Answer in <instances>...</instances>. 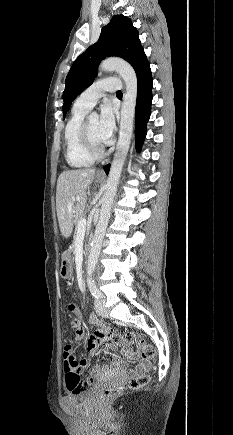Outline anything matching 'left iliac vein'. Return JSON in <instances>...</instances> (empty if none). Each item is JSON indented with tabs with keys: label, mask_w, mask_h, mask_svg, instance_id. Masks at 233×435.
I'll list each match as a JSON object with an SVG mask.
<instances>
[{
	"label": "left iliac vein",
	"mask_w": 233,
	"mask_h": 435,
	"mask_svg": "<svg viewBox=\"0 0 233 435\" xmlns=\"http://www.w3.org/2000/svg\"><path fill=\"white\" fill-rule=\"evenodd\" d=\"M94 304L98 315H100L101 317H106L107 310L105 309V301L103 299L97 298Z\"/></svg>",
	"instance_id": "left-iliac-vein-1"
}]
</instances>
